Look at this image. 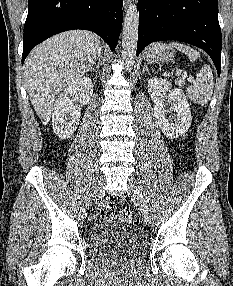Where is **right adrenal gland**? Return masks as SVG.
Returning a JSON list of instances; mask_svg holds the SVG:
<instances>
[{
	"label": "right adrenal gland",
	"instance_id": "obj_1",
	"mask_svg": "<svg viewBox=\"0 0 233 286\" xmlns=\"http://www.w3.org/2000/svg\"><path fill=\"white\" fill-rule=\"evenodd\" d=\"M100 63H97V65L95 66V68H90L89 71L91 72H96V73H100Z\"/></svg>",
	"mask_w": 233,
	"mask_h": 286
}]
</instances>
